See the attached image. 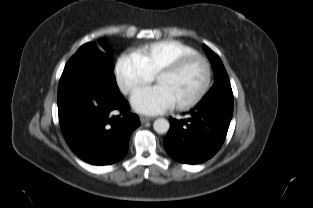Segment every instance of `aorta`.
<instances>
[{"instance_id":"aorta-1","label":"aorta","mask_w":313,"mask_h":208,"mask_svg":"<svg viewBox=\"0 0 313 208\" xmlns=\"http://www.w3.org/2000/svg\"><path fill=\"white\" fill-rule=\"evenodd\" d=\"M170 127L169 122L164 118H158L153 123L154 130L159 134H164L168 132Z\"/></svg>"}]
</instances>
